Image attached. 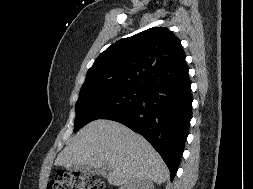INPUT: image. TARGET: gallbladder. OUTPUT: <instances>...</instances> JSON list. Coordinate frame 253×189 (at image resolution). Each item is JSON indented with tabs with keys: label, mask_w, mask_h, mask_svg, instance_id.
I'll return each mask as SVG.
<instances>
[{
	"label": "gallbladder",
	"mask_w": 253,
	"mask_h": 189,
	"mask_svg": "<svg viewBox=\"0 0 253 189\" xmlns=\"http://www.w3.org/2000/svg\"><path fill=\"white\" fill-rule=\"evenodd\" d=\"M67 168L69 170L80 171V172H82L84 174H88V175H101V176L106 175V173L102 169L91 167L89 165H73V166H70Z\"/></svg>",
	"instance_id": "gallbladder-1"
}]
</instances>
